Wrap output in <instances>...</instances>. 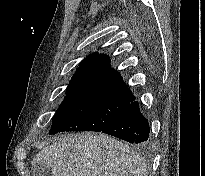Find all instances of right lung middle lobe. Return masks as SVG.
<instances>
[{
	"label": "right lung middle lobe",
	"instance_id": "dd1d6c3e",
	"mask_svg": "<svg viewBox=\"0 0 205 176\" xmlns=\"http://www.w3.org/2000/svg\"><path fill=\"white\" fill-rule=\"evenodd\" d=\"M131 101L97 93L66 96L53 117L49 134L100 132L118 119Z\"/></svg>",
	"mask_w": 205,
	"mask_h": 176
}]
</instances>
